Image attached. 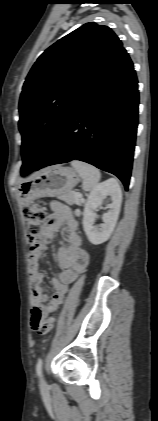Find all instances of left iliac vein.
I'll return each mask as SVG.
<instances>
[{
	"mask_svg": "<svg viewBox=\"0 0 158 421\" xmlns=\"http://www.w3.org/2000/svg\"><path fill=\"white\" fill-rule=\"evenodd\" d=\"M40 382H41V385H42V386H44V385H45V381H44V379H43V378H41V381H40Z\"/></svg>",
	"mask_w": 158,
	"mask_h": 421,
	"instance_id": "left-iliac-vein-1",
	"label": "left iliac vein"
}]
</instances>
